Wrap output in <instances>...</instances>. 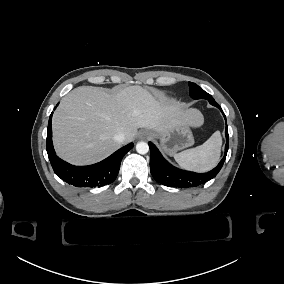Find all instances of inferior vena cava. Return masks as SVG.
Returning a JSON list of instances; mask_svg holds the SVG:
<instances>
[{"label":"inferior vena cava","instance_id":"1","mask_svg":"<svg viewBox=\"0 0 284 284\" xmlns=\"http://www.w3.org/2000/svg\"><path fill=\"white\" fill-rule=\"evenodd\" d=\"M113 139L118 142V143H123L124 142V139H125V136L123 133L119 132L117 133L116 135H114Z\"/></svg>","mask_w":284,"mask_h":284}]
</instances>
